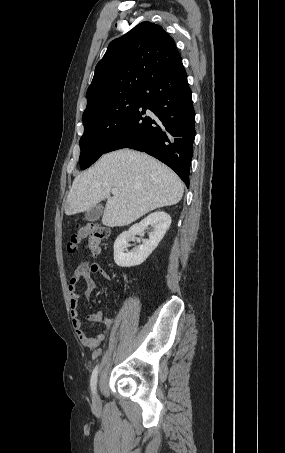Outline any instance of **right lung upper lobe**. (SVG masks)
Masks as SVG:
<instances>
[{
  "label": "right lung upper lobe",
  "mask_w": 285,
  "mask_h": 453,
  "mask_svg": "<svg viewBox=\"0 0 285 453\" xmlns=\"http://www.w3.org/2000/svg\"><path fill=\"white\" fill-rule=\"evenodd\" d=\"M182 62L174 40L159 25L144 21L113 40L95 68L86 111L121 95L142 92L154 78Z\"/></svg>",
  "instance_id": "right-lung-upper-lobe-1"
}]
</instances>
